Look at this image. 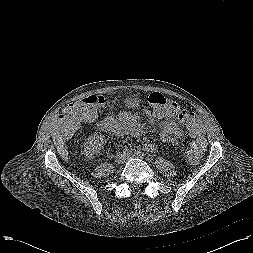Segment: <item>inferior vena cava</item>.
I'll return each mask as SVG.
<instances>
[{
    "mask_svg": "<svg viewBox=\"0 0 253 253\" xmlns=\"http://www.w3.org/2000/svg\"><path fill=\"white\" fill-rule=\"evenodd\" d=\"M116 162L118 163H122L124 161H126L127 157H126V154H118L116 157Z\"/></svg>",
    "mask_w": 253,
    "mask_h": 253,
    "instance_id": "1",
    "label": "inferior vena cava"
}]
</instances>
